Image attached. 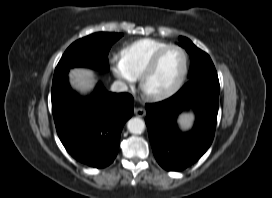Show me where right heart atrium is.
<instances>
[{"mask_svg": "<svg viewBox=\"0 0 272 198\" xmlns=\"http://www.w3.org/2000/svg\"><path fill=\"white\" fill-rule=\"evenodd\" d=\"M110 68L114 76L124 87H130L134 85L137 80V77L131 73V71L127 68L122 58L120 57L114 56L111 58Z\"/></svg>", "mask_w": 272, "mask_h": 198, "instance_id": "1", "label": "right heart atrium"}]
</instances>
